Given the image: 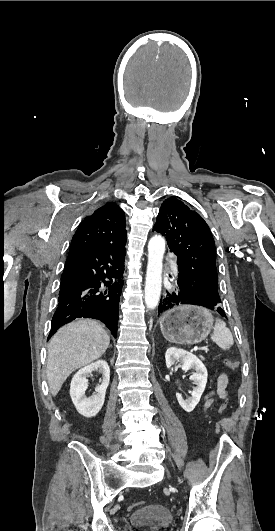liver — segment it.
<instances>
[{
    "label": "liver",
    "instance_id": "1",
    "mask_svg": "<svg viewBox=\"0 0 275 531\" xmlns=\"http://www.w3.org/2000/svg\"><path fill=\"white\" fill-rule=\"evenodd\" d=\"M109 343V335L97 321L80 319L61 327L48 345L47 379L51 395L56 397L73 371L100 359Z\"/></svg>",
    "mask_w": 275,
    "mask_h": 531
}]
</instances>
